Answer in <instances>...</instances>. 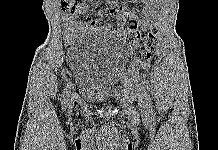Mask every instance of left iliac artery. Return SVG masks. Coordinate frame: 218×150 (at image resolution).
Wrapping results in <instances>:
<instances>
[{
    "instance_id": "1",
    "label": "left iliac artery",
    "mask_w": 218,
    "mask_h": 150,
    "mask_svg": "<svg viewBox=\"0 0 218 150\" xmlns=\"http://www.w3.org/2000/svg\"><path fill=\"white\" fill-rule=\"evenodd\" d=\"M141 92H142V95L146 101L148 113H150V115L153 116L154 110H153V106H152V99H151V96L149 94V88H148L146 81L141 82Z\"/></svg>"
}]
</instances>
